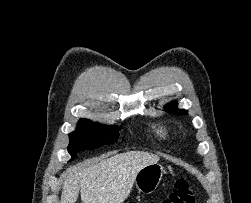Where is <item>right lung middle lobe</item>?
<instances>
[{
  "instance_id": "obj_1",
  "label": "right lung middle lobe",
  "mask_w": 251,
  "mask_h": 203,
  "mask_svg": "<svg viewBox=\"0 0 251 203\" xmlns=\"http://www.w3.org/2000/svg\"><path fill=\"white\" fill-rule=\"evenodd\" d=\"M118 127L103 126L87 119H80L77 129L69 134L68 152L74 159L80 150H90L114 143L119 138Z\"/></svg>"
}]
</instances>
